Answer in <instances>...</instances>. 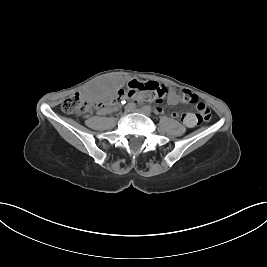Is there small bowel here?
I'll list each match as a JSON object with an SVG mask.
<instances>
[{"instance_id":"small-bowel-1","label":"small bowel","mask_w":267,"mask_h":267,"mask_svg":"<svg viewBox=\"0 0 267 267\" xmlns=\"http://www.w3.org/2000/svg\"><path fill=\"white\" fill-rule=\"evenodd\" d=\"M108 89H110V88H108ZM167 100H168V103L169 104H172V105H177V104H179L181 101H182V97H181V95H179L178 93H176L174 90H170V92H169V95H168V98H167ZM198 104H203L202 102H198L197 103V105ZM204 105V104H203ZM158 110L159 111H162V109L161 108H158ZM110 111V109H103V110H101V112L102 113H107V112H109ZM172 116L174 117V118H181V120L186 124V126H188V127H194L195 125H197L198 123H197V120H196V118H195V114L194 113H185V114H179V113H177V112H174L173 114H172Z\"/></svg>"}]
</instances>
